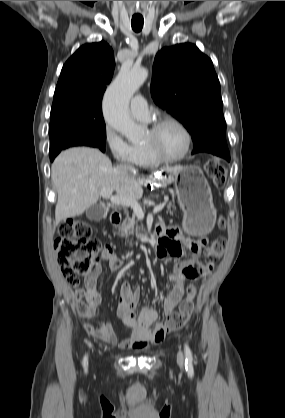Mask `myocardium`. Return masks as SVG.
<instances>
[{"instance_id":"1","label":"myocardium","mask_w":285,"mask_h":418,"mask_svg":"<svg viewBox=\"0 0 285 418\" xmlns=\"http://www.w3.org/2000/svg\"><path fill=\"white\" fill-rule=\"evenodd\" d=\"M166 124L176 125L183 132L184 137H185V146H184V149L181 152V154H179L176 157H166L153 144L144 143V145H145L149 155L153 159H155L156 161H158L160 163L169 164V163H175V162L181 161L188 155V153L190 152V149H191L192 137H191V133L188 130V128L180 120H178L174 117H170V116L163 117V118L155 121L152 124L150 131L154 134V133L158 132Z\"/></svg>"}]
</instances>
